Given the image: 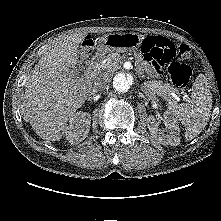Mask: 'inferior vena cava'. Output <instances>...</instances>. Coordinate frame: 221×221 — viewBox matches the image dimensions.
Wrapping results in <instances>:
<instances>
[{
  "mask_svg": "<svg viewBox=\"0 0 221 221\" xmlns=\"http://www.w3.org/2000/svg\"><path fill=\"white\" fill-rule=\"evenodd\" d=\"M108 83H109V74L108 73L103 74L98 80L94 82L92 94L104 91Z\"/></svg>",
  "mask_w": 221,
  "mask_h": 221,
  "instance_id": "1",
  "label": "inferior vena cava"
}]
</instances>
